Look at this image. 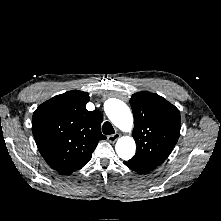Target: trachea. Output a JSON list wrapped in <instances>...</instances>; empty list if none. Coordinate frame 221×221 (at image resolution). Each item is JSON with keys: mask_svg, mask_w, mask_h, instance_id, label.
Segmentation results:
<instances>
[{"mask_svg": "<svg viewBox=\"0 0 221 221\" xmlns=\"http://www.w3.org/2000/svg\"><path fill=\"white\" fill-rule=\"evenodd\" d=\"M102 131L106 135H111V134L115 133L114 128H113V126L111 125L110 122H105L103 124Z\"/></svg>", "mask_w": 221, "mask_h": 221, "instance_id": "trachea-1", "label": "trachea"}]
</instances>
